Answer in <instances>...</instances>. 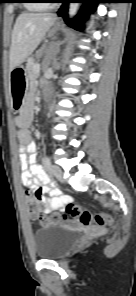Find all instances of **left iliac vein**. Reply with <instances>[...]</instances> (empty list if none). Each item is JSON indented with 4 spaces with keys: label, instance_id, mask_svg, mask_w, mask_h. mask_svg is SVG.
I'll use <instances>...</instances> for the list:
<instances>
[{
    "label": "left iliac vein",
    "instance_id": "obj_1",
    "mask_svg": "<svg viewBox=\"0 0 136 296\" xmlns=\"http://www.w3.org/2000/svg\"><path fill=\"white\" fill-rule=\"evenodd\" d=\"M52 175L59 181H63V174L62 171L59 167L57 166H52Z\"/></svg>",
    "mask_w": 136,
    "mask_h": 296
}]
</instances>
